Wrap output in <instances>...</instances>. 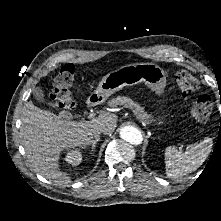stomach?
Returning <instances> with one entry per match:
<instances>
[{
	"mask_svg": "<svg viewBox=\"0 0 221 221\" xmlns=\"http://www.w3.org/2000/svg\"><path fill=\"white\" fill-rule=\"evenodd\" d=\"M141 82L157 95H162L166 86L165 72L153 63L126 65L104 76L92 96L95 101L103 102L123 87L134 86Z\"/></svg>",
	"mask_w": 221,
	"mask_h": 221,
	"instance_id": "0dacf381",
	"label": "stomach"
}]
</instances>
